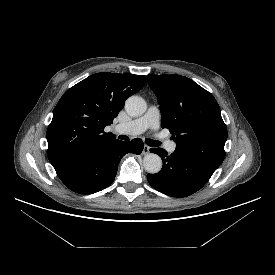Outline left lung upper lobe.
Instances as JSON below:
<instances>
[{"instance_id": "1", "label": "left lung upper lobe", "mask_w": 275, "mask_h": 275, "mask_svg": "<svg viewBox=\"0 0 275 275\" xmlns=\"http://www.w3.org/2000/svg\"><path fill=\"white\" fill-rule=\"evenodd\" d=\"M157 96L162 128H168L175 152L215 171L225 157L227 128L211 93L181 75H148Z\"/></svg>"}]
</instances>
